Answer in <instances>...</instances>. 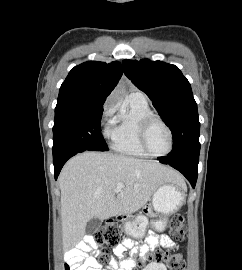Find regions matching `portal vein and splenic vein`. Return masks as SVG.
Here are the masks:
<instances>
[{"instance_id": "1", "label": "portal vein and splenic vein", "mask_w": 242, "mask_h": 270, "mask_svg": "<svg viewBox=\"0 0 242 270\" xmlns=\"http://www.w3.org/2000/svg\"><path fill=\"white\" fill-rule=\"evenodd\" d=\"M123 188H124V184L123 183H118L114 191L116 193H119Z\"/></svg>"}]
</instances>
